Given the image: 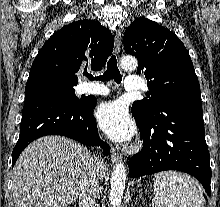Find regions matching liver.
<instances>
[{
    "mask_svg": "<svg viewBox=\"0 0 220 207\" xmlns=\"http://www.w3.org/2000/svg\"><path fill=\"white\" fill-rule=\"evenodd\" d=\"M91 154L62 136H46L28 145L13 168L15 207H68L79 195ZM107 168L102 167L100 178Z\"/></svg>",
    "mask_w": 220,
    "mask_h": 207,
    "instance_id": "6515ba94",
    "label": "liver"
}]
</instances>
